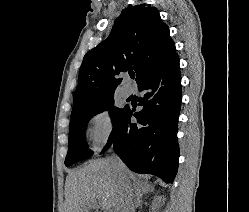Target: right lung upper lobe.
<instances>
[{"label":"right lung upper lobe","instance_id":"right-lung-upper-lobe-1","mask_svg":"<svg viewBox=\"0 0 249 212\" xmlns=\"http://www.w3.org/2000/svg\"><path fill=\"white\" fill-rule=\"evenodd\" d=\"M175 55L169 27L156 8L140 4L124 9L109 37L84 56L73 109L114 96L123 72L133 69L139 85Z\"/></svg>","mask_w":249,"mask_h":212}]
</instances>
